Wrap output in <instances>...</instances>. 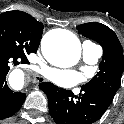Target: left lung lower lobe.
<instances>
[{
  "label": "left lung lower lobe",
  "instance_id": "1",
  "mask_svg": "<svg viewBox=\"0 0 124 124\" xmlns=\"http://www.w3.org/2000/svg\"><path fill=\"white\" fill-rule=\"evenodd\" d=\"M47 95L49 113L57 124H93L105 113L111 100L104 94L85 88L75 96L72 91L49 82L39 84Z\"/></svg>",
  "mask_w": 124,
  "mask_h": 124
}]
</instances>
